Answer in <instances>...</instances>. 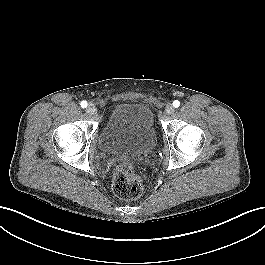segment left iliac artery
Instances as JSON below:
<instances>
[{
	"label": "left iliac artery",
	"mask_w": 265,
	"mask_h": 265,
	"mask_svg": "<svg viewBox=\"0 0 265 265\" xmlns=\"http://www.w3.org/2000/svg\"><path fill=\"white\" fill-rule=\"evenodd\" d=\"M180 106V102L178 100L173 101V107L178 108Z\"/></svg>",
	"instance_id": "1"
}]
</instances>
